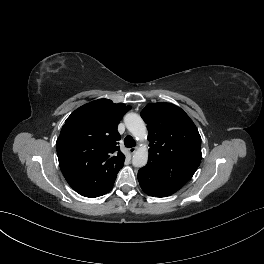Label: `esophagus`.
<instances>
[{"mask_svg":"<svg viewBox=\"0 0 264 264\" xmlns=\"http://www.w3.org/2000/svg\"><path fill=\"white\" fill-rule=\"evenodd\" d=\"M128 150H129L130 154H134L136 151V147H131Z\"/></svg>","mask_w":264,"mask_h":264,"instance_id":"obj_1","label":"esophagus"}]
</instances>
